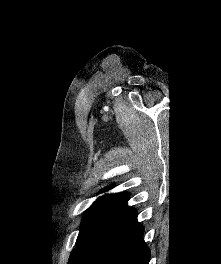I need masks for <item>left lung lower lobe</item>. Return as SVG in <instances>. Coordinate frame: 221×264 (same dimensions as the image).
Here are the masks:
<instances>
[{
	"label": "left lung lower lobe",
	"instance_id": "0a47b994",
	"mask_svg": "<svg viewBox=\"0 0 221 264\" xmlns=\"http://www.w3.org/2000/svg\"><path fill=\"white\" fill-rule=\"evenodd\" d=\"M128 198L111 210L72 251L68 264H149L137 212Z\"/></svg>",
	"mask_w": 221,
	"mask_h": 264
}]
</instances>
